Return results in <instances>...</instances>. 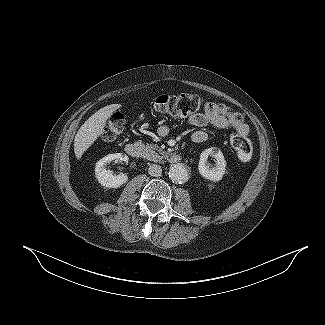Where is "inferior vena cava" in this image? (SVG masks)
<instances>
[{"label":"inferior vena cava","mask_w":325,"mask_h":325,"mask_svg":"<svg viewBox=\"0 0 325 325\" xmlns=\"http://www.w3.org/2000/svg\"><path fill=\"white\" fill-rule=\"evenodd\" d=\"M148 173H149V175L154 176V177L161 176L162 168L160 165L152 164L148 168Z\"/></svg>","instance_id":"602c4592"}]
</instances>
